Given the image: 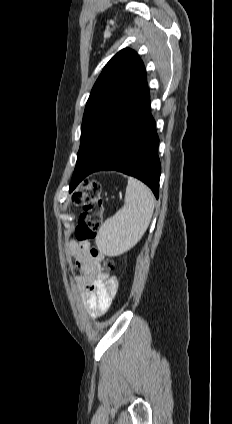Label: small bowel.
Returning a JSON list of instances; mask_svg holds the SVG:
<instances>
[{"mask_svg": "<svg viewBox=\"0 0 232 424\" xmlns=\"http://www.w3.org/2000/svg\"><path fill=\"white\" fill-rule=\"evenodd\" d=\"M89 244L72 241L66 255L80 275L75 277L81 292V303L92 318L103 315L117 293V281L108 277L100 268L96 258L88 254Z\"/></svg>", "mask_w": 232, "mask_h": 424, "instance_id": "1", "label": "small bowel"}]
</instances>
